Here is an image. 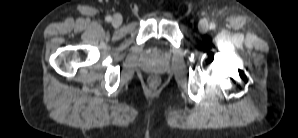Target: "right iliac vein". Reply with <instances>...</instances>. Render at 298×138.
Here are the masks:
<instances>
[{"mask_svg":"<svg viewBox=\"0 0 298 138\" xmlns=\"http://www.w3.org/2000/svg\"><path fill=\"white\" fill-rule=\"evenodd\" d=\"M112 24H113L114 27L120 26L122 24V16L119 15V14H116L113 17Z\"/></svg>","mask_w":298,"mask_h":138,"instance_id":"63e3f726","label":"right iliac vein"}]
</instances>
